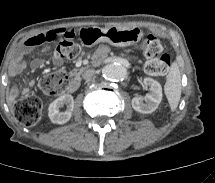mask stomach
<instances>
[{
	"instance_id": "1",
	"label": "stomach",
	"mask_w": 215,
	"mask_h": 183,
	"mask_svg": "<svg viewBox=\"0 0 215 183\" xmlns=\"http://www.w3.org/2000/svg\"><path fill=\"white\" fill-rule=\"evenodd\" d=\"M142 36L143 32L138 27L112 26L100 28L94 43L104 41L112 46L125 47L139 42Z\"/></svg>"
}]
</instances>
